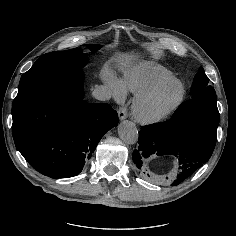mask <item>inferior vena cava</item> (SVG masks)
<instances>
[{
	"mask_svg": "<svg viewBox=\"0 0 236 236\" xmlns=\"http://www.w3.org/2000/svg\"><path fill=\"white\" fill-rule=\"evenodd\" d=\"M112 91L107 85L96 86L92 92V96L100 101H106L111 98Z\"/></svg>",
	"mask_w": 236,
	"mask_h": 236,
	"instance_id": "obj_1",
	"label": "inferior vena cava"
}]
</instances>
